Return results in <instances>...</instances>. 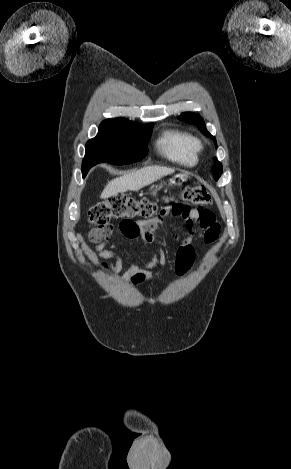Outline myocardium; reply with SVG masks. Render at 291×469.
Wrapping results in <instances>:
<instances>
[{
    "label": "myocardium",
    "instance_id": "obj_1",
    "mask_svg": "<svg viewBox=\"0 0 291 469\" xmlns=\"http://www.w3.org/2000/svg\"><path fill=\"white\" fill-rule=\"evenodd\" d=\"M201 149H202V144L198 142V151H200Z\"/></svg>",
    "mask_w": 291,
    "mask_h": 469
}]
</instances>
